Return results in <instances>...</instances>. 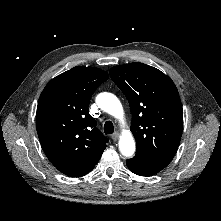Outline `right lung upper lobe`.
Masks as SVG:
<instances>
[{"label": "right lung upper lobe", "instance_id": "obj_1", "mask_svg": "<svg viewBox=\"0 0 221 221\" xmlns=\"http://www.w3.org/2000/svg\"><path fill=\"white\" fill-rule=\"evenodd\" d=\"M109 78L95 67L76 66L53 78L42 91L36 128L49 161L68 176L89 173L106 148L88 106L97 87Z\"/></svg>", "mask_w": 221, "mask_h": 221}]
</instances>
